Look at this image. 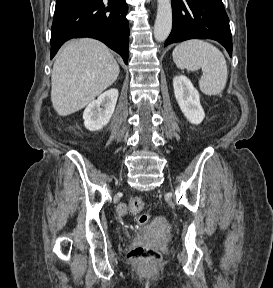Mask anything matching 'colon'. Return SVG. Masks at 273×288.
<instances>
[{
  "mask_svg": "<svg viewBox=\"0 0 273 288\" xmlns=\"http://www.w3.org/2000/svg\"><path fill=\"white\" fill-rule=\"evenodd\" d=\"M144 207V201L140 197H132L130 199V212L141 225H145L149 221V215L145 212ZM127 256L129 259L140 260L146 265H155L161 257L160 253L155 249L142 245L133 247Z\"/></svg>",
  "mask_w": 273,
  "mask_h": 288,
  "instance_id": "colon-1",
  "label": "colon"
}]
</instances>
